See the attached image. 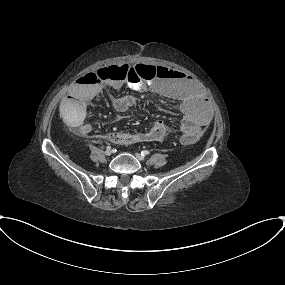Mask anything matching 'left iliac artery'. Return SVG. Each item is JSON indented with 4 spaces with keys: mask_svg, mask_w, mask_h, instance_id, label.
<instances>
[{
    "mask_svg": "<svg viewBox=\"0 0 285 285\" xmlns=\"http://www.w3.org/2000/svg\"><path fill=\"white\" fill-rule=\"evenodd\" d=\"M150 154V152L148 151V150H143L142 152H141V155L144 157V156H147V155H149Z\"/></svg>",
    "mask_w": 285,
    "mask_h": 285,
    "instance_id": "44dca946",
    "label": "left iliac artery"
}]
</instances>
